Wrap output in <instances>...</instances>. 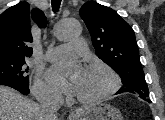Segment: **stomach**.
Segmentation results:
<instances>
[{
    "instance_id": "stomach-1",
    "label": "stomach",
    "mask_w": 165,
    "mask_h": 120,
    "mask_svg": "<svg viewBox=\"0 0 165 120\" xmlns=\"http://www.w3.org/2000/svg\"><path fill=\"white\" fill-rule=\"evenodd\" d=\"M72 120H123V116L116 107L101 103L85 107Z\"/></svg>"
}]
</instances>
